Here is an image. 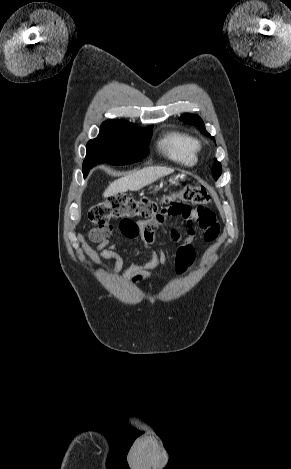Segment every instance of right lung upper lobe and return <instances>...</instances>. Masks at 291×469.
I'll return each instance as SVG.
<instances>
[{
    "label": "right lung upper lobe",
    "instance_id": "right-lung-upper-lobe-1",
    "mask_svg": "<svg viewBox=\"0 0 291 469\" xmlns=\"http://www.w3.org/2000/svg\"><path fill=\"white\" fill-rule=\"evenodd\" d=\"M108 121H121V120H108Z\"/></svg>",
    "mask_w": 291,
    "mask_h": 469
}]
</instances>
